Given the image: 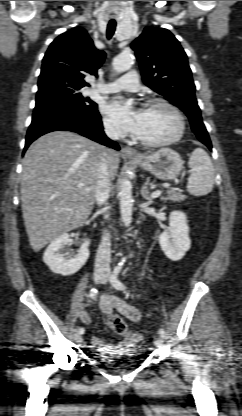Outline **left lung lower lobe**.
<instances>
[{
  "label": "left lung lower lobe",
  "mask_w": 242,
  "mask_h": 416,
  "mask_svg": "<svg viewBox=\"0 0 242 416\" xmlns=\"http://www.w3.org/2000/svg\"><path fill=\"white\" fill-rule=\"evenodd\" d=\"M203 144H205L210 150L212 149V145H211V141H210V139L209 138H207V139H203L202 141H201Z\"/></svg>",
  "instance_id": "left-lung-lower-lobe-1"
}]
</instances>
